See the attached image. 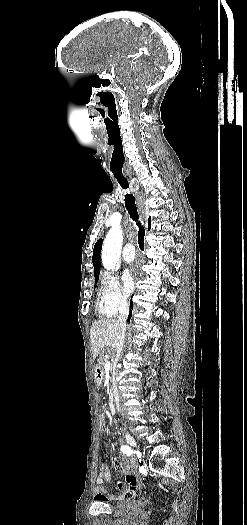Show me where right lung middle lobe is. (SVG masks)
<instances>
[{"label":"right lung middle lobe","instance_id":"1","mask_svg":"<svg viewBox=\"0 0 247 525\" xmlns=\"http://www.w3.org/2000/svg\"><path fill=\"white\" fill-rule=\"evenodd\" d=\"M99 276H95V282H97Z\"/></svg>","mask_w":247,"mask_h":525}]
</instances>
